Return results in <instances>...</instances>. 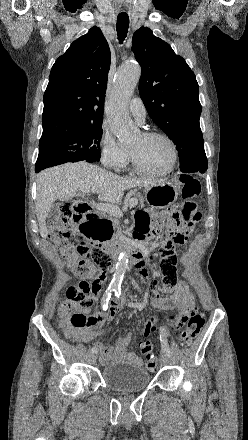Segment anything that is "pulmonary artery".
<instances>
[{"instance_id":"pulmonary-artery-1","label":"pulmonary artery","mask_w":248,"mask_h":440,"mask_svg":"<svg viewBox=\"0 0 248 440\" xmlns=\"http://www.w3.org/2000/svg\"><path fill=\"white\" fill-rule=\"evenodd\" d=\"M129 111L138 122H144L147 112L143 101L139 97H135L130 101Z\"/></svg>"}]
</instances>
